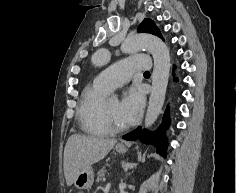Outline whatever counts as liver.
I'll return each mask as SVG.
<instances>
[{"instance_id":"6515ba94","label":"liver","mask_w":237,"mask_h":193,"mask_svg":"<svg viewBox=\"0 0 237 193\" xmlns=\"http://www.w3.org/2000/svg\"><path fill=\"white\" fill-rule=\"evenodd\" d=\"M116 139L71 135L64 149V175L66 183L71 186L78 173L102 160L116 144Z\"/></svg>"}]
</instances>
